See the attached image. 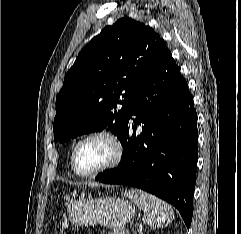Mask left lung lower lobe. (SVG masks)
Returning a JSON list of instances; mask_svg holds the SVG:
<instances>
[{
    "label": "left lung lower lobe",
    "mask_w": 241,
    "mask_h": 234,
    "mask_svg": "<svg viewBox=\"0 0 241 234\" xmlns=\"http://www.w3.org/2000/svg\"><path fill=\"white\" fill-rule=\"evenodd\" d=\"M134 116V117H132ZM141 133H136V128ZM197 113L188 85L166 47L129 106L122 160L99 174L171 203L189 228L198 160Z\"/></svg>",
    "instance_id": "0a47b994"
}]
</instances>
